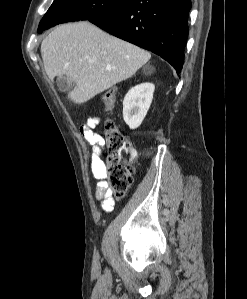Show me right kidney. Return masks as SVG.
<instances>
[{"instance_id": "obj_1", "label": "right kidney", "mask_w": 247, "mask_h": 299, "mask_svg": "<svg viewBox=\"0 0 247 299\" xmlns=\"http://www.w3.org/2000/svg\"><path fill=\"white\" fill-rule=\"evenodd\" d=\"M154 90V84L141 83L131 88L124 97L123 118L130 129L141 125L151 105Z\"/></svg>"}]
</instances>
